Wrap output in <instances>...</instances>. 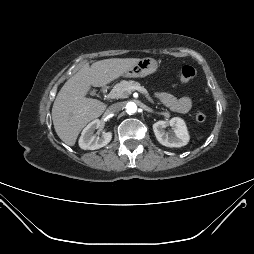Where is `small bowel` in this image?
<instances>
[{"label": "small bowel", "instance_id": "obj_1", "mask_svg": "<svg viewBox=\"0 0 254 254\" xmlns=\"http://www.w3.org/2000/svg\"><path fill=\"white\" fill-rule=\"evenodd\" d=\"M156 97L168 108L180 113H186L191 109L192 100L189 96H182L180 98L168 92H157Z\"/></svg>", "mask_w": 254, "mask_h": 254}]
</instances>
